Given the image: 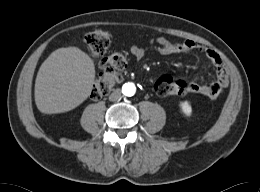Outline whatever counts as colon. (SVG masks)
<instances>
[{
  "mask_svg": "<svg viewBox=\"0 0 260 192\" xmlns=\"http://www.w3.org/2000/svg\"><path fill=\"white\" fill-rule=\"evenodd\" d=\"M85 42L91 55L102 57L111 44V37L108 32L95 28L86 34ZM126 67L127 56L124 53L115 52L104 57L101 61L102 72L94 84L91 97L97 100L108 94ZM154 91L161 97L183 95L188 91V84L184 80L162 75L155 81Z\"/></svg>",
  "mask_w": 260,
  "mask_h": 192,
  "instance_id": "1",
  "label": "colon"
}]
</instances>
